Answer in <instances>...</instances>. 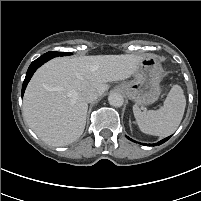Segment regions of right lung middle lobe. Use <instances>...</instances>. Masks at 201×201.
Segmentation results:
<instances>
[{"mask_svg": "<svg viewBox=\"0 0 201 201\" xmlns=\"http://www.w3.org/2000/svg\"><path fill=\"white\" fill-rule=\"evenodd\" d=\"M45 54H47V55H52L53 57L71 55V53H68V52H54V51L47 52V53H45Z\"/></svg>", "mask_w": 201, "mask_h": 201, "instance_id": "obj_1", "label": "right lung middle lobe"}]
</instances>
